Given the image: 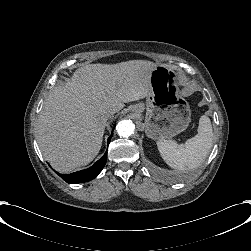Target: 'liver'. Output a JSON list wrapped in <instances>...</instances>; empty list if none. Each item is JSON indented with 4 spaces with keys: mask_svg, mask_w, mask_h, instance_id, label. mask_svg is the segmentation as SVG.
Wrapping results in <instances>:
<instances>
[{
    "mask_svg": "<svg viewBox=\"0 0 251 251\" xmlns=\"http://www.w3.org/2000/svg\"><path fill=\"white\" fill-rule=\"evenodd\" d=\"M154 66L144 59L86 64L52 90L38 118L37 134L42 155L54 170L67 174L94 160L107 120L125 103L151 94Z\"/></svg>",
    "mask_w": 251,
    "mask_h": 251,
    "instance_id": "6515ba94",
    "label": "liver"
}]
</instances>
